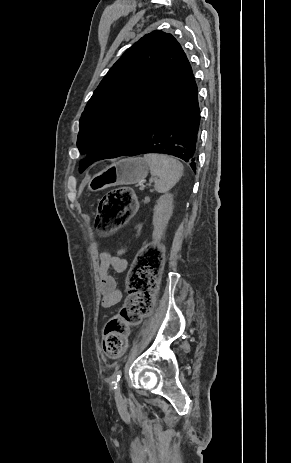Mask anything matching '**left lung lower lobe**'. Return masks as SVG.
I'll use <instances>...</instances> for the list:
<instances>
[{"mask_svg": "<svg viewBox=\"0 0 291 463\" xmlns=\"http://www.w3.org/2000/svg\"><path fill=\"white\" fill-rule=\"evenodd\" d=\"M200 108L195 79L174 98L167 110L140 141L121 156L166 154L181 158L196 169Z\"/></svg>", "mask_w": 291, "mask_h": 463, "instance_id": "1", "label": "left lung lower lobe"}]
</instances>
